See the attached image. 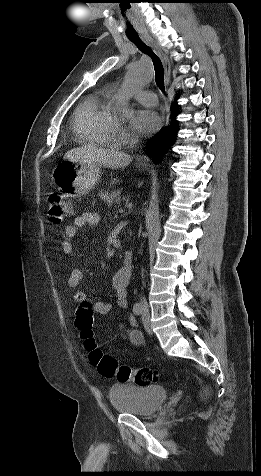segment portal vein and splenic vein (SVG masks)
<instances>
[{
    "label": "portal vein and splenic vein",
    "instance_id": "portal-vein-and-splenic-vein-1",
    "mask_svg": "<svg viewBox=\"0 0 261 476\" xmlns=\"http://www.w3.org/2000/svg\"><path fill=\"white\" fill-rule=\"evenodd\" d=\"M119 212H120V213H123V209H120Z\"/></svg>",
    "mask_w": 261,
    "mask_h": 476
}]
</instances>
